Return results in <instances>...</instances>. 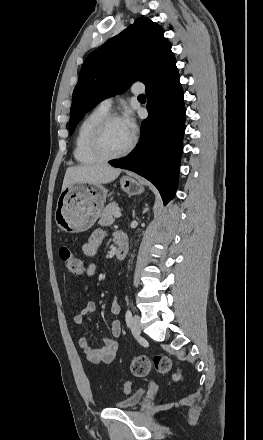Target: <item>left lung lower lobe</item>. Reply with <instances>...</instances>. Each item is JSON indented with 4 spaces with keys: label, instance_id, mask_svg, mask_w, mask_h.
<instances>
[{
    "label": "left lung lower lobe",
    "instance_id": "1",
    "mask_svg": "<svg viewBox=\"0 0 263 440\" xmlns=\"http://www.w3.org/2000/svg\"><path fill=\"white\" fill-rule=\"evenodd\" d=\"M179 78L175 60L145 83L149 115L142 123L140 142L128 156L109 162L151 181L165 205L177 188L185 132L186 110Z\"/></svg>",
    "mask_w": 263,
    "mask_h": 440
}]
</instances>
